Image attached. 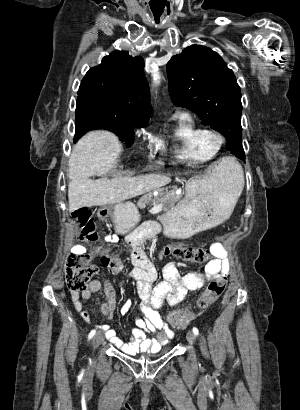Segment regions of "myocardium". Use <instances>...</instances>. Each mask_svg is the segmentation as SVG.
Here are the masks:
<instances>
[{
    "mask_svg": "<svg viewBox=\"0 0 300 410\" xmlns=\"http://www.w3.org/2000/svg\"><path fill=\"white\" fill-rule=\"evenodd\" d=\"M208 142L215 149H219L226 142L225 135L217 130H209L208 132Z\"/></svg>",
    "mask_w": 300,
    "mask_h": 410,
    "instance_id": "f54148a6",
    "label": "myocardium"
}]
</instances>
